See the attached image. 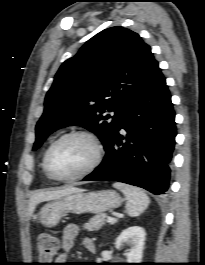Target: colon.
Segmentation results:
<instances>
[{"label": "colon", "instance_id": "5ec220e1", "mask_svg": "<svg viewBox=\"0 0 205 265\" xmlns=\"http://www.w3.org/2000/svg\"><path fill=\"white\" fill-rule=\"evenodd\" d=\"M59 251V241L49 233H41L37 237V254L42 265L51 264Z\"/></svg>", "mask_w": 205, "mask_h": 265}]
</instances>
